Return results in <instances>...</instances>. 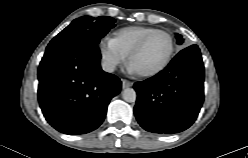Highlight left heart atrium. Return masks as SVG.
<instances>
[{"label":"left heart atrium","mask_w":248,"mask_h":158,"mask_svg":"<svg viewBox=\"0 0 248 158\" xmlns=\"http://www.w3.org/2000/svg\"><path fill=\"white\" fill-rule=\"evenodd\" d=\"M127 71L129 73H135V72H137L136 69L133 67V65L131 63L128 65Z\"/></svg>","instance_id":"left-heart-atrium-1"}]
</instances>
